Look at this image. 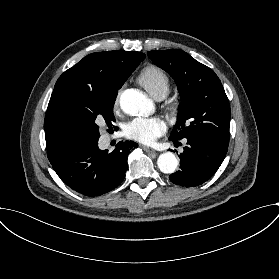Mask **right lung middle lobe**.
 Listing matches in <instances>:
<instances>
[{
  "label": "right lung middle lobe",
  "mask_w": 279,
  "mask_h": 279,
  "mask_svg": "<svg viewBox=\"0 0 279 279\" xmlns=\"http://www.w3.org/2000/svg\"><path fill=\"white\" fill-rule=\"evenodd\" d=\"M123 83L108 87L73 88L60 93L45 117V128L65 152H74L97 141L98 122L108 125L115 120L113 105Z\"/></svg>",
  "instance_id": "right-lung-middle-lobe-1"
}]
</instances>
